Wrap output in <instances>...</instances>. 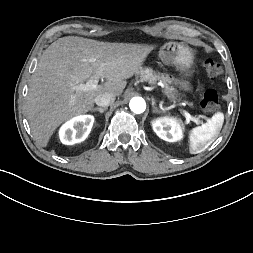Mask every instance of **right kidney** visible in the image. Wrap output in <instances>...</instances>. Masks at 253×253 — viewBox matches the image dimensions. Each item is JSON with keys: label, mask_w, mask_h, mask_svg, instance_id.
<instances>
[{"label": "right kidney", "mask_w": 253, "mask_h": 253, "mask_svg": "<svg viewBox=\"0 0 253 253\" xmlns=\"http://www.w3.org/2000/svg\"><path fill=\"white\" fill-rule=\"evenodd\" d=\"M94 123L92 115H81L66 122L60 129V140L63 144L73 145L84 141Z\"/></svg>", "instance_id": "1"}]
</instances>
